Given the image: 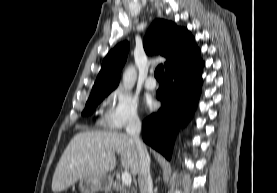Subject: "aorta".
Returning a JSON list of instances; mask_svg holds the SVG:
<instances>
[{"instance_id":"1","label":"aorta","mask_w":277,"mask_h":193,"mask_svg":"<svg viewBox=\"0 0 277 193\" xmlns=\"http://www.w3.org/2000/svg\"><path fill=\"white\" fill-rule=\"evenodd\" d=\"M137 79V71L133 65L128 66L127 69L123 73V87L126 90H131Z\"/></svg>"}]
</instances>
